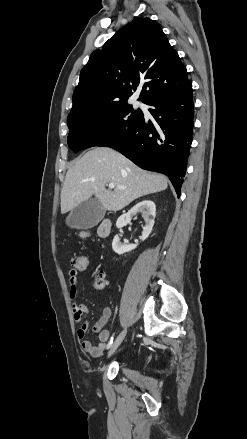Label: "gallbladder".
Listing matches in <instances>:
<instances>
[{"label": "gallbladder", "mask_w": 247, "mask_h": 439, "mask_svg": "<svg viewBox=\"0 0 247 439\" xmlns=\"http://www.w3.org/2000/svg\"><path fill=\"white\" fill-rule=\"evenodd\" d=\"M105 209L96 198H89L75 207L66 218L71 228L88 229L97 225L104 217Z\"/></svg>", "instance_id": "1"}]
</instances>
